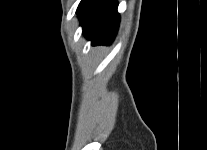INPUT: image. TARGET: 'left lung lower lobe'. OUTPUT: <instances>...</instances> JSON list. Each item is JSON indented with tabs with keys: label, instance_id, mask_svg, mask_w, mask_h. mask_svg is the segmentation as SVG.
<instances>
[{
	"label": "left lung lower lobe",
	"instance_id": "left-lung-lower-lobe-1",
	"mask_svg": "<svg viewBox=\"0 0 207 150\" xmlns=\"http://www.w3.org/2000/svg\"><path fill=\"white\" fill-rule=\"evenodd\" d=\"M116 0H82L77 8L84 35L92 44L111 43L119 27Z\"/></svg>",
	"mask_w": 207,
	"mask_h": 150
}]
</instances>
